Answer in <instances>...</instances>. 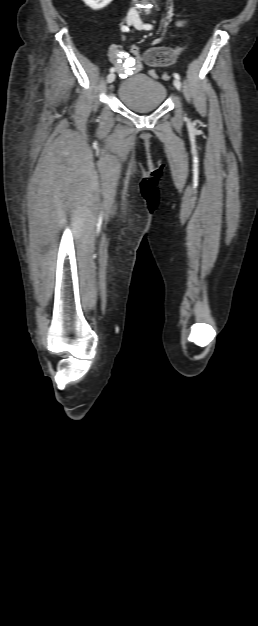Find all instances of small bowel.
<instances>
[{
	"mask_svg": "<svg viewBox=\"0 0 258 626\" xmlns=\"http://www.w3.org/2000/svg\"><path fill=\"white\" fill-rule=\"evenodd\" d=\"M177 26L182 27L187 24L186 20L177 21ZM158 46H161L160 44ZM109 59L117 66L119 70H126L129 68L128 64L131 60L135 61L134 58L130 57L126 52L122 51L118 46L111 45L108 51ZM150 75L154 78H158V74L155 70H150ZM162 78L167 80L168 75L163 74Z\"/></svg>",
	"mask_w": 258,
	"mask_h": 626,
	"instance_id": "small-bowel-1",
	"label": "small bowel"
}]
</instances>
